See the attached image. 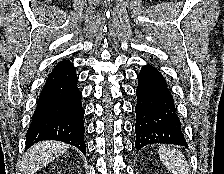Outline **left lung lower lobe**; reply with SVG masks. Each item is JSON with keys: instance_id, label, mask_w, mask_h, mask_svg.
I'll return each mask as SVG.
<instances>
[{"instance_id": "obj_1", "label": "left lung lower lobe", "mask_w": 224, "mask_h": 174, "mask_svg": "<svg viewBox=\"0 0 224 174\" xmlns=\"http://www.w3.org/2000/svg\"><path fill=\"white\" fill-rule=\"evenodd\" d=\"M136 95V149L155 143L187 147L173 96L165 78L155 67L145 65L141 68Z\"/></svg>"}]
</instances>
